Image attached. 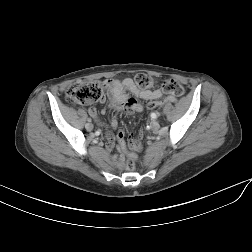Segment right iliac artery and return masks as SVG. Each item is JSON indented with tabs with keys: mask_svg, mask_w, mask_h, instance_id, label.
<instances>
[{
	"mask_svg": "<svg viewBox=\"0 0 252 252\" xmlns=\"http://www.w3.org/2000/svg\"><path fill=\"white\" fill-rule=\"evenodd\" d=\"M102 133V130H98L94 133V136L95 137H98L100 134Z\"/></svg>",
	"mask_w": 252,
	"mask_h": 252,
	"instance_id": "1",
	"label": "right iliac artery"
}]
</instances>
